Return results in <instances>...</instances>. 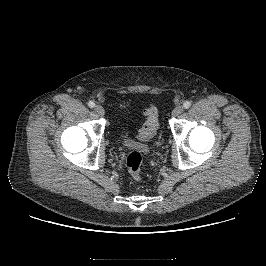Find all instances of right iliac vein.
<instances>
[{
	"mask_svg": "<svg viewBox=\"0 0 266 266\" xmlns=\"http://www.w3.org/2000/svg\"><path fill=\"white\" fill-rule=\"evenodd\" d=\"M95 112L99 115V116H104L105 114V110L102 106L97 105L95 106Z\"/></svg>",
	"mask_w": 266,
	"mask_h": 266,
	"instance_id": "1",
	"label": "right iliac vein"
}]
</instances>
